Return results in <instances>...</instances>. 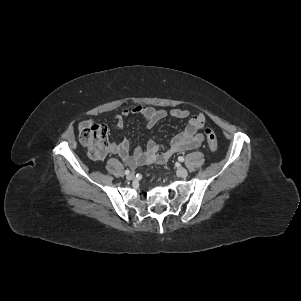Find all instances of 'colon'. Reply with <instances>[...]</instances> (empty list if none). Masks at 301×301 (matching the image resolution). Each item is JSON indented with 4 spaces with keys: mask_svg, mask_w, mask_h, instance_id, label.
Here are the masks:
<instances>
[{
    "mask_svg": "<svg viewBox=\"0 0 301 301\" xmlns=\"http://www.w3.org/2000/svg\"><path fill=\"white\" fill-rule=\"evenodd\" d=\"M203 133L207 139L210 150L216 151L218 142L214 131L206 127ZM80 140L87 148L88 155L91 159H101L106 154L108 148V128L105 124L93 121L86 122L80 128Z\"/></svg>",
    "mask_w": 301,
    "mask_h": 301,
    "instance_id": "obj_1",
    "label": "colon"
}]
</instances>
